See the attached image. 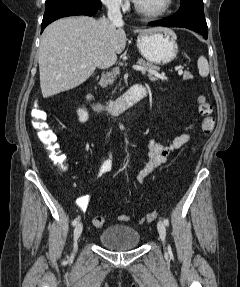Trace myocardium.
<instances>
[{
  "mask_svg": "<svg viewBox=\"0 0 240 287\" xmlns=\"http://www.w3.org/2000/svg\"><path fill=\"white\" fill-rule=\"evenodd\" d=\"M172 1L173 0H164L163 5L155 10H150V9H145L142 6H140L137 1H134V8L135 10L146 17H150V18H157V17H161L164 16L166 13H168V11L170 10L171 6H172Z\"/></svg>",
  "mask_w": 240,
  "mask_h": 287,
  "instance_id": "1",
  "label": "myocardium"
}]
</instances>
